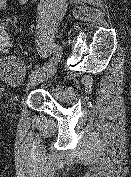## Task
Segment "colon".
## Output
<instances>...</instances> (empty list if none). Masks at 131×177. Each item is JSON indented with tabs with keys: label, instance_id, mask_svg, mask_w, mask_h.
<instances>
[{
	"label": "colon",
	"instance_id": "5ec220e1",
	"mask_svg": "<svg viewBox=\"0 0 131 177\" xmlns=\"http://www.w3.org/2000/svg\"><path fill=\"white\" fill-rule=\"evenodd\" d=\"M11 45V34L6 20L0 21V52H5Z\"/></svg>",
	"mask_w": 131,
	"mask_h": 177
}]
</instances>
